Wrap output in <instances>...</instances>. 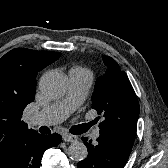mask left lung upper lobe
<instances>
[{"label":"left lung upper lobe","instance_id":"obj_1","mask_svg":"<svg viewBox=\"0 0 168 168\" xmlns=\"http://www.w3.org/2000/svg\"><path fill=\"white\" fill-rule=\"evenodd\" d=\"M106 72L97 78L92 108L102 114L100 131H108L134 142L139 102L125 72L109 56H103Z\"/></svg>","mask_w":168,"mask_h":168}]
</instances>
